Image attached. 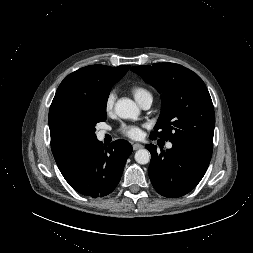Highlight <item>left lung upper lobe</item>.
<instances>
[{
	"mask_svg": "<svg viewBox=\"0 0 253 253\" xmlns=\"http://www.w3.org/2000/svg\"><path fill=\"white\" fill-rule=\"evenodd\" d=\"M131 70L161 93V114L150 137L212 153L215 113L202 79L175 63L134 66Z\"/></svg>",
	"mask_w": 253,
	"mask_h": 253,
	"instance_id": "left-lung-upper-lobe-1",
	"label": "left lung upper lobe"
}]
</instances>
